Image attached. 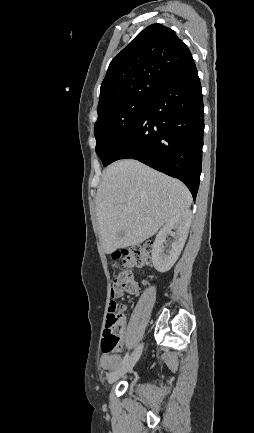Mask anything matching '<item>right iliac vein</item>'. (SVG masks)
<instances>
[{"instance_id": "1", "label": "right iliac vein", "mask_w": 254, "mask_h": 433, "mask_svg": "<svg viewBox=\"0 0 254 433\" xmlns=\"http://www.w3.org/2000/svg\"><path fill=\"white\" fill-rule=\"evenodd\" d=\"M143 345L140 344L131 354L129 359L120 367L115 369L108 377V383L113 384L118 379H120L123 375H125L128 371H130L136 362L138 361L141 353H142Z\"/></svg>"}]
</instances>
